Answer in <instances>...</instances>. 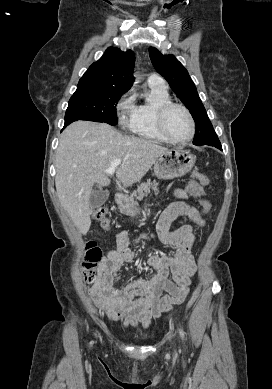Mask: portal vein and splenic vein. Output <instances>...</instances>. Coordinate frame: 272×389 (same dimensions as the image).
Segmentation results:
<instances>
[{"mask_svg": "<svg viewBox=\"0 0 272 389\" xmlns=\"http://www.w3.org/2000/svg\"><path fill=\"white\" fill-rule=\"evenodd\" d=\"M121 162H122L121 159H115L114 161H112L110 167L106 169L104 172L107 175H113L116 171V168L121 164Z\"/></svg>", "mask_w": 272, "mask_h": 389, "instance_id": "portal-vein-and-splenic-vein-1", "label": "portal vein and splenic vein"}]
</instances>
